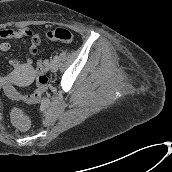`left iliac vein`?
I'll return each instance as SVG.
<instances>
[{
	"label": "left iliac vein",
	"mask_w": 172,
	"mask_h": 172,
	"mask_svg": "<svg viewBox=\"0 0 172 172\" xmlns=\"http://www.w3.org/2000/svg\"><path fill=\"white\" fill-rule=\"evenodd\" d=\"M48 68L52 71V72H56L57 71V62L55 60H51Z\"/></svg>",
	"instance_id": "obj_1"
}]
</instances>
